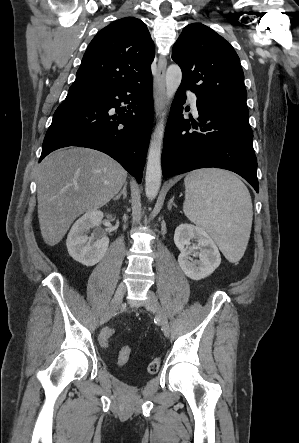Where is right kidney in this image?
Returning a JSON list of instances; mask_svg holds the SVG:
<instances>
[{
  "instance_id": "1",
  "label": "right kidney",
  "mask_w": 299,
  "mask_h": 443,
  "mask_svg": "<svg viewBox=\"0 0 299 443\" xmlns=\"http://www.w3.org/2000/svg\"><path fill=\"white\" fill-rule=\"evenodd\" d=\"M103 217L104 213L100 210L86 212L73 224L67 236L66 246L69 255L85 266L97 264L108 249V237L100 236L94 241L87 235L91 229L100 225Z\"/></svg>"
}]
</instances>
